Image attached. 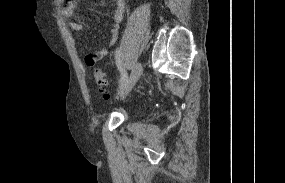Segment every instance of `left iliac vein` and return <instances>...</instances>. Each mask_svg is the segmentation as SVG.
<instances>
[{
	"instance_id": "4c4485c4",
	"label": "left iliac vein",
	"mask_w": 285,
	"mask_h": 183,
	"mask_svg": "<svg viewBox=\"0 0 285 183\" xmlns=\"http://www.w3.org/2000/svg\"><path fill=\"white\" fill-rule=\"evenodd\" d=\"M141 74H142V64L140 62H137L134 68L132 69L131 75L127 83L120 89V95L127 94L136 84Z\"/></svg>"
}]
</instances>
